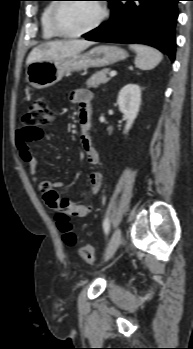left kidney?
<instances>
[{
	"label": "left kidney",
	"instance_id": "1",
	"mask_svg": "<svg viewBox=\"0 0 193 349\" xmlns=\"http://www.w3.org/2000/svg\"><path fill=\"white\" fill-rule=\"evenodd\" d=\"M141 103V89L137 84H127L119 92L117 104L127 119L124 133H127L136 119Z\"/></svg>",
	"mask_w": 193,
	"mask_h": 349
}]
</instances>
